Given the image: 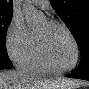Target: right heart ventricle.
<instances>
[{
  "mask_svg": "<svg viewBox=\"0 0 89 89\" xmlns=\"http://www.w3.org/2000/svg\"><path fill=\"white\" fill-rule=\"evenodd\" d=\"M21 68L30 74L47 75L53 74L42 62L36 47V42L31 53L20 63Z\"/></svg>",
  "mask_w": 89,
  "mask_h": 89,
  "instance_id": "obj_1",
  "label": "right heart ventricle"
}]
</instances>
